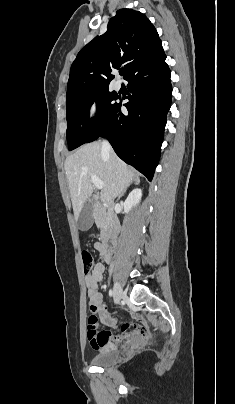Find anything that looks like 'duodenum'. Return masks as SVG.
<instances>
[{"instance_id":"obj_1","label":"duodenum","mask_w":235,"mask_h":404,"mask_svg":"<svg viewBox=\"0 0 235 404\" xmlns=\"http://www.w3.org/2000/svg\"><path fill=\"white\" fill-rule=\"evenodd\" d=\"M108 214L111 216L112 209L107 210ZM103 246L105 248V260L110 262L113 252L117 247V236H116V222L112 220L110 227L104 232L102 236Z\"/></svg>"}]
</instances>
